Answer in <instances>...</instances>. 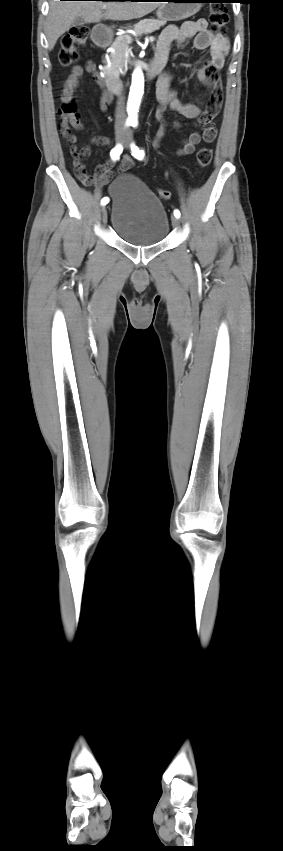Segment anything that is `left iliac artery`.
Instances as JSON below:
<instances>
[{"instance_id": "obj_1", "label": "left iliac artery", "mask_w": 283, "mask_h": 851, "mask_svg": "<svg viewBox=\"0 0 283 851\" xmlns=\"http://www.w3.org/2000/svg\"><path fill=\"white\" fill-rule=\"evenodd\" d=\"M134 126H135V125H134ZM131 151H132V155H133L136 159H138V160H142V159L144 158V155H145L144 151H143V150H140V149H139V148H138V147H137L134 143H132V144H131ZM174 216H175V217H177V218H179V217H180V211H179V210H177V209H176V210H174Z\"/></svg>"}]
</instances>
